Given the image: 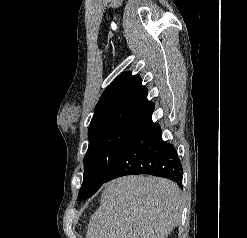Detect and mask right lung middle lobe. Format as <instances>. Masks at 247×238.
Returning a JSON list of instances; mask_svg holds the SVG:
<instances>
[{"label": "right lung middle lobe", "mask_w": 247, "mask_h": 238, "mask_svg": "<svg viewBox=\"0 0 247 238\" xmlns=\"http://www.w3.org/2000/svg\"><path fill=\"white\" fill-rule=\"evenodd\" d=\"M146 120H122L89 134L84 157L83 183L78 199H88L105 182L112 166L147 124Z\"/></svg>", "instance_id": "dd1d6c3e"}]
</instances>
